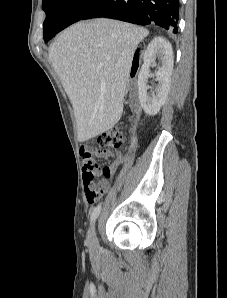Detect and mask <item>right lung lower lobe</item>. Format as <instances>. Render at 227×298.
Instances as JSON below:
<instances>
[{
  "instance_id": "1",
  "label": "right lung lower lobe",
  "mask_w": 227,
  "mask_h": 298,
  "mask_svg": "<svg viewBox=\"0 0 227 298\" xmlns=\"http://www.w3.org/2000/svg\"><path fill=\"white\" fill-rule=\"evenodd\" d=\"M97 17L139 25L155 23L177 33L179 0H101L82 20Z\"/></svg>"
}]
</instances>
